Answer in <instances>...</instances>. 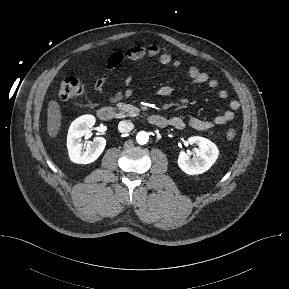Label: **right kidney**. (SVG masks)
I'll use <instances>...</instances> for the list:
<instances>
[{
  "label": "right kidney",
  "mask_w": 289,
  "mask_h": 289,
  "mask_svg": "<svg viewBox=\"0 0 289 289\" xmlns=\"http://www.w3.org/2000/svg\"><path fill=\"white\" fill-rule=\"evenodd\" d=\"M95 121L94 116L83 115L71 123L67 135V149L72 162L90 164L97 160L104 151L106 140L103 137L94 138L87 147L82 143V137L88 134Z\"/></svg>",
  "instance_id": "right-kidney-1"
}]
</instances>
